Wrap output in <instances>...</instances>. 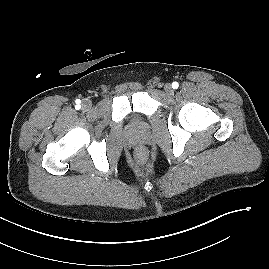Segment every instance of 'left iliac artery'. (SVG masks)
<instances>
[{"instance_id": "44dca946", "label": "left iliac artery", "mask_w": 269, "mask_h": 269, "mask_svg": "<svg viewBox=\"0 0 269 269\" xmlns=\"http://www.w3.org/2000/svg\"><path fill=\"white\" fill-rule=\"evenodd\" d=\"M179 87V84L177 82L172 83V88L177 89Z\"/></svg>"}]
</instances>
